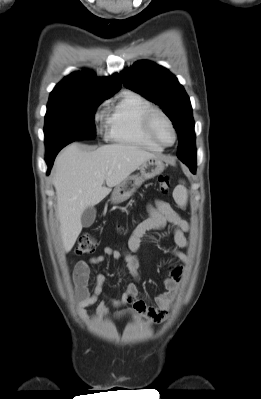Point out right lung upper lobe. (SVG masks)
Listing matches in <instances>:
<instances>
[{
    "label": "right lung upper lobe",
    "mask_w": 261,
    "mask_h": 399,
    "mask_svg": "<svg viewBox=\"0 0 261 399\" xmlns=\"http://www.w3.org/2000/svg\"><path fill=\"white\" fill-rule=\"evenodd\" d=\"M121 87L119 75L98 78L90 71L75 72L58 83L50 98L81 99L90 97L109 98Z\"/></svg>",
    "instance_id": "cb5924a9"
}]
</instances>
